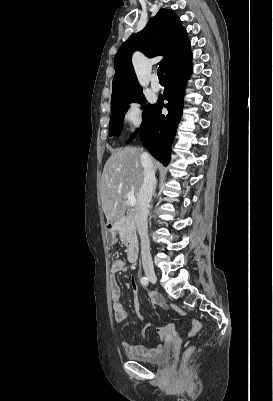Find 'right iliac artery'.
<instances>
[{"label": "right iliac artery", "instance_id": "82829eb1", "mask_svg": "<svg viewBox=\"0 0 273 401\" xmlns=\"http://www.w3.org/2000/svg\"><path fill=\"white\" fill-rule=\"evenodd\" d=\"M140 282L142 285L147 286L148 285V279L146 277H142L140 279Z\"/></svg>", "mask_w": 273, "mask_h": 401}]
</instances>
